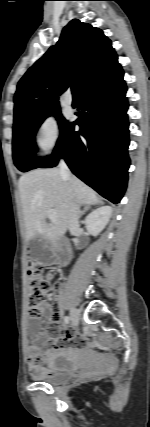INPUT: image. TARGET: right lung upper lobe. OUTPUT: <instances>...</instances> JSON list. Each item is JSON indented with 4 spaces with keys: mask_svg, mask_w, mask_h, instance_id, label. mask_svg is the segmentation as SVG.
<instances>
[{
    "mask_svg": "<svg viewBox=\"0 0 150 427\" xmlns=\"http://www.w3.org/2000/svg\"><path fill=\"white\" fill-rule=\"evenodd\" d=\"M101 29L73 19L57 44L25 73L14 96V123L59 106L58 95L75 83L79 92L118 66Z\"/></svg>",
    "mask_w": 150,
    "mask_h": 427,
    "instance_id": "right-lung-upper-lobe-1",
    "label": "right lung upper lobe"
}]
</instances>
